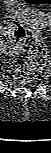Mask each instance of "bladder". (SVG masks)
I'll use <instances>...</instances> for the list:
<instances>
[{"label": "bladder", "mask_w": 51, "mask_h": 153, "mask_svg": "<svg viewBox=\"0 0 51 153\" xmlns=\"http://www.w3.org/2000/svg\"><path fill=\"white\" fill-rule=\"evenodd\" d=\"M6 3H7V6L9 9H11L13 11L16 10L15 4L17 3V0H6Z\"/></svg>", "instance_id": "bladder-1"}]
</instances>
